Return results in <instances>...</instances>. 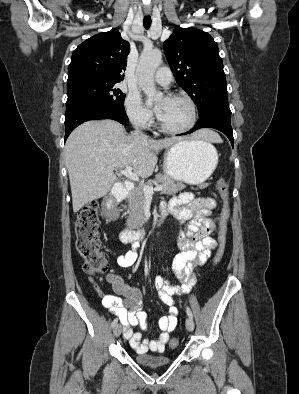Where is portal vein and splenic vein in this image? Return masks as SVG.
<instances>
[{"label": "portal vein and splenic vein", "mask_w": 299, "mask_h": 394, "mask_svg": "<svg viewBox=\"0 0 299 394\" xmlns=\"http://www.w3.org/2000/svg\"><path fill=\"white\" fill-rule=\"evenodd\" d=\"M120 174L124 175L125 177H127L130 180L133 181H139V177L138 175H136L134 172H132V167L131 166H127L125 169L120 170ZM143 192L145 194V196L150 197L154 194V192L156 191H161L163 190V186L162 185H158L155 188L149 186V185H145V184H140Z\"/></svg>", "instance_id": "1"}]
</instances>
